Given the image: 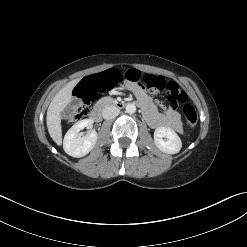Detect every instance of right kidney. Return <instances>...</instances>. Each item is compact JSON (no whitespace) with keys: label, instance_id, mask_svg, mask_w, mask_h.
Returning <instances> with one entry per match:
<instances>
[{"label":"right kidney","instance_id":"1","mask_svg":"<svg viewBox=\"0 0 247 247\" xmlns=\"http://www.w3.org/2000/svg\"><path fill=\"white\" fill-rule=\"evenodd\" d=\"M92 124V119H84L75 123L67 131L63 141V148L68 155L80 158L87 155L93 149L98 138L96 131L91 130L83 137L78 136L83 128H92Z\"/></svg>","mask_w":247,"mask_h":247}]
</instances>
